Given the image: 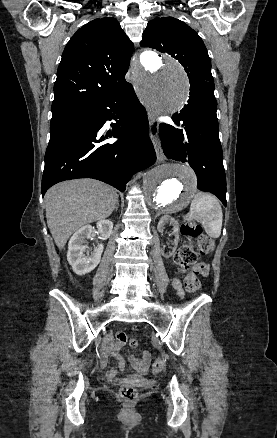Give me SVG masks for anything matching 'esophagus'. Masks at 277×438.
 <instances>
[{"instance_id": "1", "label": "esophagus", "mask_w": 277, "mask_h": 438, "mask_svg": "<svg viewBox=\"0 0 277 438\" xmlns=\"http://www.w3.org/2000/svg\"><path fill=\"white\" fill-rule=\"evenodd\" d=\"M133 64L134 65H139V60H138L137 54L134 55ZM149 116L152 119L151 130H150V137H151V139L153 141V144L155 146V150H156V153L158 155V158L159 159H165V156H164V154L162 152V149H161L160 140H159V125H160V122L155 119V117H154V115L152 113H150Z\"/></svg>"}]
</instances>
